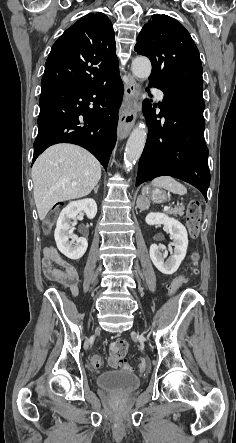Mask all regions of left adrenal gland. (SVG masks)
I'll list each match as a JSON object with an SVG mask.
<instances>
[{
    "label": "left adrenal gland",
    "mask_w": 236,
    "mask_h": 443,
    "mask_svg": "<svg viewBox=\"0 0 236 443\" xmlns=\"http://www.w3.org/2000/svg\"><path fill=\"white\" fill-rule=\"evenodd\" d=\"M137 207L140 208V210H144L142 204L139 201H137Z\"/></svg>",
    "instance_id": "obj_1"
}]
</instances>
